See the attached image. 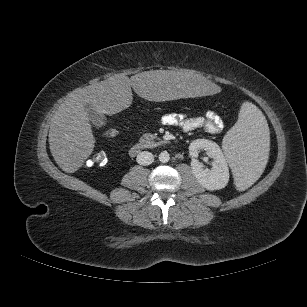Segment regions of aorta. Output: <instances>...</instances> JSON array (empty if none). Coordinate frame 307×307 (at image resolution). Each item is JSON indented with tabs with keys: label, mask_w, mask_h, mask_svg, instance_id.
<instances>
[{
	"label": "aorta",
	"mask_w": 307,
	"mask_h": 307,
	"mask_svg": "<svg viewBox=\"0 0 307 307\" xmlns=\"http://www.w3.org/2000/svg\"><path fill=\"white\" fill-rule=\"evenodd\" d=\"M158 159L161 163H167L170 160V155L167 151H163L159 154Z\"/></svg>",
	"instance_id": "762f6f07"
}]
</instances>
